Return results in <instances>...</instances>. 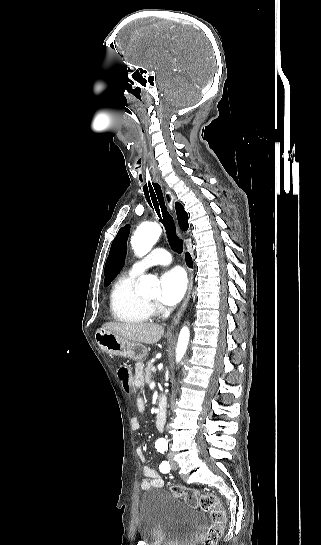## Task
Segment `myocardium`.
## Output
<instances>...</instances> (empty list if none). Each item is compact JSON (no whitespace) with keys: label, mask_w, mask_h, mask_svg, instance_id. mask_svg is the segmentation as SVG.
<instances>
[{"label":"myocardium","mask_w":321,"mask_h":545,"mask_svg":"<svg viewBox=\"0 0 321 545\" xmlns=\"http://www.w3.org/2000/svg\"><path fill=\"white\" fill-rule=\"evenodd\" d=\"M143 303H144L147 307H150V308H151V306H150L149 304H147L146 302H143Z\"/></svg>","instance_id":"1"}]
</instances>
